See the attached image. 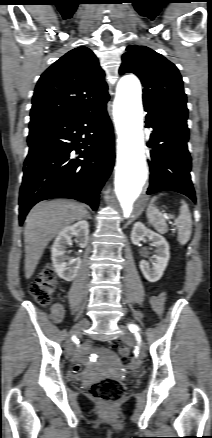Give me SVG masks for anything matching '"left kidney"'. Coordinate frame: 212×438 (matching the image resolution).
<instances>
[{"label": "left kidney", "mask_w": 212, "mask_h": 438, "mask_svg": "<svg viewBox=\"0 0 212 438\" xmlns=\"http://www.w3.org/2000/svg\"><path fill=\"white\" fill-rule=\"evenodd\" d=\"M144 237H148L153 241L157 254L154 256L155 262L152 268H150L149 263L146 261H141L139 267L144 277L149 282L154 283L162 277L167 267L170 258L169 244L162 235L150 230L143 223L136 222L131 232L132 243L138 245Z\"/></svg>", "instance_id": "5707ae66"}]
</instances>
